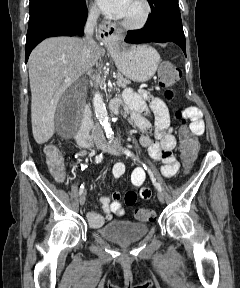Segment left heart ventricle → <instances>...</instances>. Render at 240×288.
<instances>
[{
	"label": "left heart ventricle",
	"instance_id": "1",
	"mask_svg": "<svg viewBox=\"0 0 240 288\" xmlns=\"http://www.w3.org/2000/svg\"><path fill=\"white\" fill-rule=\"evenodd\" d=\"M143 11V6L139 0H132L123 18L128 21H137L142 17Z\"/></svg>",
	"mask_w": 240,
	"mask_h": 288
}]
</instances>
